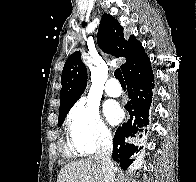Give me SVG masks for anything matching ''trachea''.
I'll list each match as a JSON object with an SVG mask.
<instances>
[{
  "instance_id": "obj_1",
  "label": "trachea",
  "mask_w": 196,
  "mask_h": 182,
  "mask_svg": "<svg viewBox=\"0 0 196 182\" xmlns=\"http://www.w3.org/2000/svg\"><path fill=\"white\" fill-rule=\"evenodd\" d=\"M114 76H115L116 79L119 80L121 85H126L125 81H124V78H123V75H122V72L119 68L115 70Z\"/></svg>"
}]
</instances>
